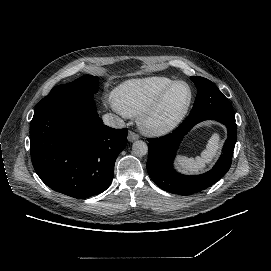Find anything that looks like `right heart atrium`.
<instances>
[{
	"instance_id": "1",
	"label": "right heart atrium",
	"mask_w": 271,
	"mask_h": 271,
	"mask_svg": "<svg viewBox=\"0 0 271 271\" xmlns=\"http://www.w3.org/2000/svg\"><path fill=\"white\" fill-rule=\"evenodd\" d=\"M110 101H111V103L114 105V107H115L120 113L123 114V112H122V110H121V108H120V106H119V103H118V101L116 100V98L111 97V98H110Z\"/></svg>"
}]
</instances>
